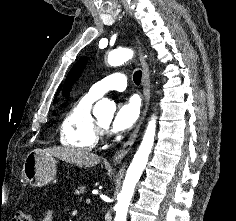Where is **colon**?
<instances>
[{
  "mask_svg": "<svg viewBox=\"0 0 236 221\" xmlns=\"http://www.w3.org/2000/svg\"><path fill=\"white\" fill-rule=\"evenodd\" d=\"M11 221H34L32 215L25 210H19L15 213Z\"/></svg>",
  "mask_w": 236,
  "mask_h": 221,
  "instance_id": "colon-1",
  "label": "colon"
}]
</instances>
